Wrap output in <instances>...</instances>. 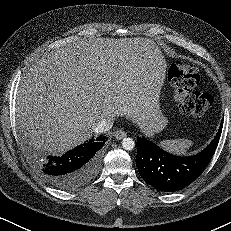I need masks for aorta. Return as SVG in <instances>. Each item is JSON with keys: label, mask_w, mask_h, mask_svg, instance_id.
Here are the masks:
<instances>
[{"label": "aorta", "mask_w": 231, "mask_h": 231, "mask_svg": "<svg viewBox=\"0 0 231 231\" xmlns=\"http://www.w3.org/2000/svg\"><path fill=\"white\" fill-rule=\"evenodd\" d=\"M122 147L125 150L131 151L135 147V142H134V140L132 138H129V137L128 138H124L122 140Z\"/></svg>", "instance_id": "1"}]
</instances>
